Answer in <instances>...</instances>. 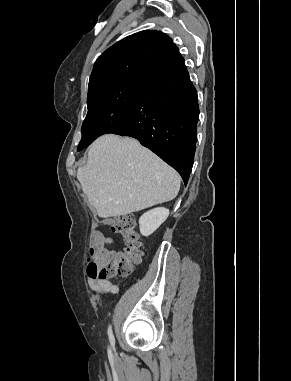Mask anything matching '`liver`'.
Listing matches in <instances>:
<instances>
[{
	"instance_id": "obj_1",
	"label": "liver",
	"mask_w": 291,
	"mask_h": 381,
	"mask_svg": "<svg viewBox=\"0 0 291 381\" xmlns=\"http://www.w3.org/2000/svg\"><path fill=\"white\" fill-rule=\"evenodd\" d=\"M77 179L101 218L127 215L173 200L179 174L136 139L106 134L95 140Z\"/></svg>"
}]
</instances>
